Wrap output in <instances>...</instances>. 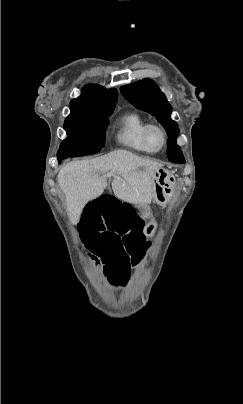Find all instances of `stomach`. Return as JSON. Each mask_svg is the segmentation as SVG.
Instances as JSON below:
<instances>
[{
    "label": "stomach",
    "mask_w": 243,
    "mask_h": 404,
    "mask_svg": "<svg viewBox=\"0 0 243 404\" xmlns=\"http://www.w3.org/2000/svg\"><path fill=\"white\" fill-rule=\"evenodd\" d=\"M173 176L165 169L163 168H158L154 174H153V199L154 201L162 205L166 203L168 197L172 193V186H173ZM141 211L146 215L147 217L150 216V210L148 207L141 206ZM155 224L153 222H150L147 224L146 227V233L145 235L150 236L153 234L155 230Z\"/></svg>",
    "instance_id": "0dacf381"
}]
</instances>
